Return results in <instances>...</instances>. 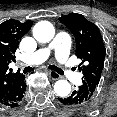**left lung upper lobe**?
<instances>
[{"mask_svg": "<svg viewBox=\"0 0 117 117\" xmlns=\"http://www.w3.org/2000/svg\"><path fill=\"white\" fill-rule=\"evenodd\" d=\"M75 36L76 55L82 60L79 70L83 72V84L91 97L99 85L106 49L98 27L81 14L70 13L59 18Z\"/></svg>", "mask_w": 117, "mask_h": 117, "instance_id": "obj_1", "label": "left lung upper lobe"}]
</instances>
